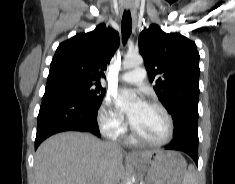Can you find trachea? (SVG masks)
<instances>
[{
  "label": "trachea",
  "instance_id": "trachea-1",
  "mask_svg": "<svg viewBox=\"0 0 235 184\" xmlns=\"http://www.w3.org/2000/svg\"><path fill=\"white\" fill-rule=\"evenodd\" d=\"M131 31H132V20H131L130 11L125 10L122 17V40L124 44L126 43L128 37L130 36Z\"/></svg>",
  "mask_w": 235,
  "mask_h": 184
}]
</instances>
